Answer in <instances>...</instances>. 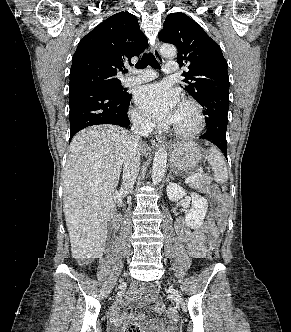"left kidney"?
Listing matches in <instances>:
<instances>
[{"label": "left kidney", "instance_id": "5707ae66", "mask_svg": "<svg viewBox=\"0 0 291 332\" xmlns=\"http://www.w3.org/2000/svg\"><path fill=\"white\" fill-rule=\"evenodd\" d=\"M167 196L171 201H178L182 199L187 193L176 183H169L166 188ZM192 204L190 211L185 216V223L188 227L195 229L203 224V220L207 213V200L197 193H190Z\"/></svg>", "mask_w": 291, "mask_h": 332}]
</instances>
